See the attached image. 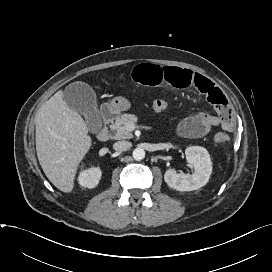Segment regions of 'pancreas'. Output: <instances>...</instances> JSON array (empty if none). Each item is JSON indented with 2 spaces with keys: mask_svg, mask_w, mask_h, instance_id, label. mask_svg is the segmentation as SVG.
Returning a JSON list of instances; mask_svg holds the SVG:
<instances>
[{
  "mask_svg": "<svg viewBox=\"0 0 272 272\" xmlns=\"http://www.w3.org/2000/svg\"><path fill=\"white\" fill-rule=\"evenodd\" d=\"M138 117L134 114H123L110 125L112 137L114 139H131L132 133L127 129L128 125H135Z\"/></svg>",
  "mask_w": 272,
  "mask_h": 272,
  "instance_id": "1",
  "label": "pancreas"
}]
</instances>
